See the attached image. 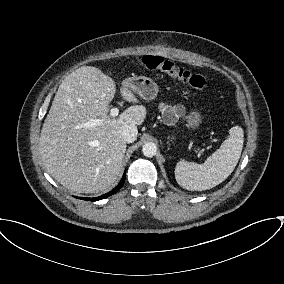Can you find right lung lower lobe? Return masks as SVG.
<instances>
[{"label": "right lung lower lobe", "instance_id": "1", "mask_svg": "<svg viewBox=\"0 0 284 284\" xmlns=\"http://www.w3.org/2000/svg\"><path fill=\"white\" fill-rule=\"evenodd\" d=\"M124 181H125V173H124L123 178L121 179L120 183L112 191H110L109 193H106V194H104L102 196L95 197V198H80V199L89 200V201H97V200H101V199L107 198V197L115 194L123 186Z\"/></svg>", "mask_w": 284, "mask_h": 284}]
</instances>
